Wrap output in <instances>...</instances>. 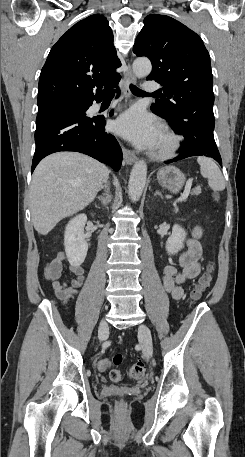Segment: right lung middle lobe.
<instances>
[{
    "label": "right lung middle lobe",
    "instance_id": "obj_1",
    "mask_svg": "<svg viewBox=\"0 0 245 457\" xmlns=\"http://www.w3.org/2000/svg\"><path fill=\"white\" fill-rule=\"evenodd\" d=\"M83 100L70 101L60 105L59 107L69 106V105H79Z\"/></svg>",
    "mask_w": 245,
    "mask_h": 457
}]
</instances>
